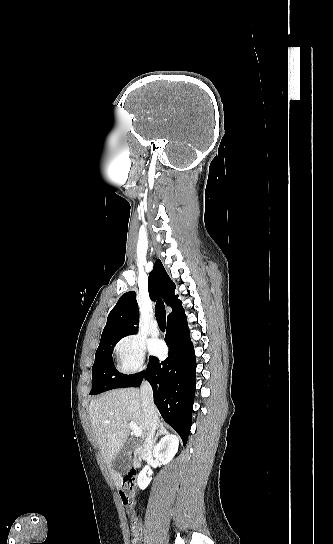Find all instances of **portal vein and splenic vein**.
Returning <instances> with one entry per match:
<instances>
[{"mask_svg":"<svg viewBox=\"0 0 333 544\" xmlns=\"http://www.w3.org/2000/svg\"><path fill=\"white\" fill-rule=\"evenodd\" d=\"M130 428L136 437H141L142 431L135 422L130 421Z\"/></svg>","mask_w":333,"mask_h":544,"instance_id":"obj_1","label":"portal vein and splenic vein"}]
</instances>
